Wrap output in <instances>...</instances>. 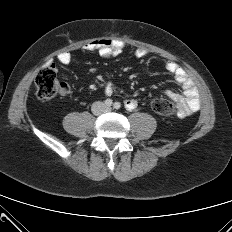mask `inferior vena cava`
<instances>
[{"instance_id":"1","label":"inferior vena cava","mask_w":232,"mask_h":232,"mask_svg":"<svg viewBox=\"0 0 232 232\" xmlns=\"http://www.w3.org/2000/svg\"><path fill=\"white\" fill-rule=\"evenodd\" d=\"M91 110L94 115H101L107 111V106L103 102L96 101L92 104Z\"/></svg>"}]
</instances>
